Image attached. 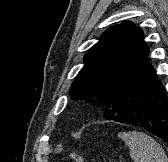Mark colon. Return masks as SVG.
<instances>
[{"mask_svg":"<svg viewBox=\"0 0 168 162\" xmlns=\"http://www.w3.org/2000/svg\"><path fill=\"white\" fill-rule=\"evenodd\" d=\"M83 157L79 154H71L69 162H83Z\"/></svg>","mask_w":168,"mask_h":162,"instance_id":"5ec220e1","label":"colon"}]
</instances>
